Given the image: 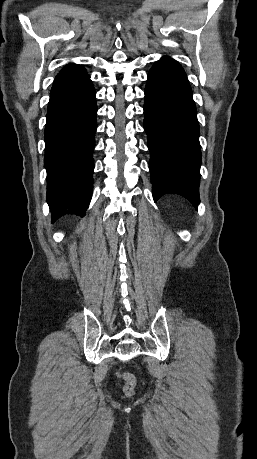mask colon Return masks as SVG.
Instances as JSON below:
<instances>
[{
	"label": "colon",
	"instance_id": "obj_1",
	"mask_svg": "<svg viewBox=\"0 0 257 459\" xmlns=\"http://www.w3.org/2000/svg\"><path fill=\"white\" fill-rule=\"evenodd\" d=\"M120 379L124 381V393L128 396H131L134 393L136 387V379L135 377L127 372H122L119 374Z\"/></svg>",
	"mask_w": 257,
	"mask_h": 459
}]
</instances>
